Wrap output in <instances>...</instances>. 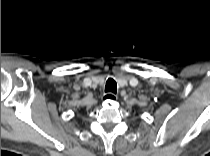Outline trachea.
<instances>
[{
  "label": "trachea",
  "mask_w": 210,
  "mask_h": 156,
  "mask_svg": "<svg viewBox=\"0 0 210 156\" xmlns=\"http://www.w3.org/2000/svg\"><path fill=\"white\" fill-rule=\"evenodd\" d=\"M105 92H111L116 94L117 92V84L116 81L113 78H109L106 82V86H105Z\"/></svg>",
  "instance_id": "3493384b"
}]
</instances>
